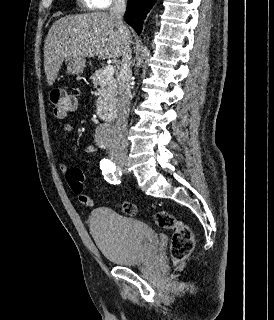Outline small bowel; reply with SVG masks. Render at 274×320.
I'll use <instances>...</instances> for the list:
<instances>
[{
	"mask_svg": "<svg viewBox=\"0 0 274 320\" xmlns=\"http://www.w3.org/2000/svg\"><path fill=\"white\" fill-rule=\"evenodd\" d=\"M74 108H75V105H74ZM73 130H74V125L72 123H65L63 125V132L66 135L71 134L73 132ZM96 150H97L96 146L89 145V146L85 147L84 152L87 153V154H91V153H94ZM59 170L62 173H67L69 168H68V166L66 164L63 163V164L59 165ZM78 199H79L80 203H82L83 205H86V206H92L93 205L92 199L89 198L86 195H84L83 197H79Z\"/></svg>",
	"mask_w": 274,
	"mask_h": 320,
	"instance_id": "small-bowel-1",
	"label": "small bowel"
}]
</instances>
